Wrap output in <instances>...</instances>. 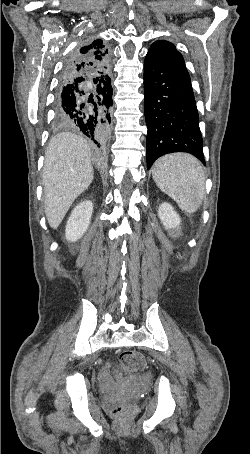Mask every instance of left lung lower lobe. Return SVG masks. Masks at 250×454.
<instances>
[{
    "label": "left lung lower lobe",
    "instance_id": "left-lung-lower-lobe-1",
    "mask_svg": "<svg viewBox=\"0 0 250 454\" xmlns=\"http://www.w3.org/2000/svg\"><path fill=\"white\" fill-rule=\"evenodd\" d=\"M144 95L147 169L162 155L173 152L190 153L206 165L199 115L184 63L147 53Z\"/></svg>",
    "mask_w": 250,
    "mask_h": 454
}]
</instances>
